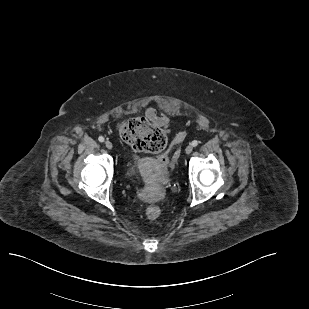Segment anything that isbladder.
Segmentation results:
<instances>
[{
  "instance_id": "bladder-1",
  "label": "bladder",
  "mask_w": 309,
  "mask_h": 309,
  "mask_svg": "<svg viewBox=\"0 0 309 309\" xmlns=\"http://www.w3.org/2000/svg\"><path fill=\"white\" fill-rule=\"evenodd\" d=\"M126 176L128 178H136L138 176V171L135 164L129 161L126 166Z\"/></svg>"
}]
</instances>
